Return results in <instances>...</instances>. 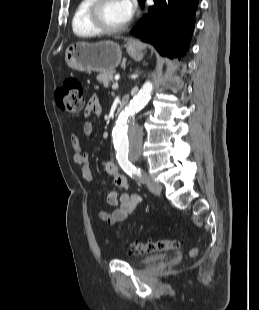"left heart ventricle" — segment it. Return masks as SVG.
<instances>
[{
    "mask_svg": "<svg viewBox=\"0 0 259 310\" xmlns=\"http://www.w3.org/2000/svg\"><path fill=\"white\" fill-rule=\"evenodd\" d=\"M102 22L108 27H119L127 22L120 0H108L101 10Z\"/></svg>",
    "mask_w": 259,
    "mask_h": 310,
    "instance_id": "1",
    "label": "left heart ventricle"
}]
</instances>
